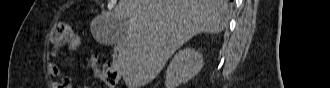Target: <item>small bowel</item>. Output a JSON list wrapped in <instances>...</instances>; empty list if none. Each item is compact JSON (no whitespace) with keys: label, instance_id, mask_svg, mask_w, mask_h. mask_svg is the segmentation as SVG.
I'll use <instances>...</instances> for the list:
<instances>
[{"label":"small bowel","instance_id":"1","mask_svg":"<svg viewBox=\"0 0 330 88\" xmlns=\"http://www.w3.org/2000/svg\"><path fill=\"white\" fill-rule=\"evenodd\" d=\"M47 73L52 76L58 78V81L52 83L53 88H73L74 83L73 80L67 77L57 66L49 65L47 67Z\"/></svg>","mask_w":330,"mask_h":88}]
</instances>
